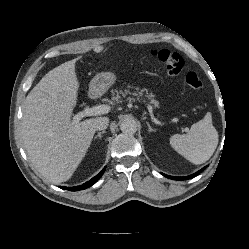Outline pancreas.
Segmentation results:
<instances>
[{
  "mask_svg": "<svg viewBox=\"0 0 249 249\" xmlns=\"http://www.w3.org/2000/svg\"><path fill=\"white\" fill-rule=\"evenodd\" d=\"M136 91L134 93H131V91L129 89H125V90H112L111 93H112V100L117 102V103H121L122 100H121V96L125 97L127 95H133V96H137V100L140 101L142 100V96H143V92L146 91V90H140V92H138V90L140 88H135ZM138 92V94H137ZM145 97L150 100V103L153 104L154 106H157L158 105V102L154 99V95L152 93H148L146 91V95ZM126 101H129V102H132V101H135V98L134 97H128L126 99Z\"/></svg>",
  "mask_w": 249,
  "mask_h": 249,
  "instance_id": "pancreas-1",
  "label": "pancreas"
}]
</instances>
